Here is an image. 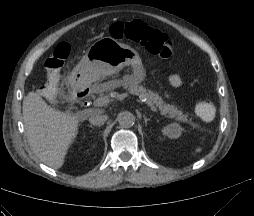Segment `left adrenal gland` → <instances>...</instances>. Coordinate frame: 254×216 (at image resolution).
<instances>
[{"instance_id": "left-adrenal-gland-1", "label": "left adrenal gland", "mask_w": 254, "mask_h": 216, "mask_svg": "<svg viewBox=\"0 0 254 216\" xmlns=\"http://www.w3.org/2000/svg\"><path fill=\"white\" fill-rule=\"evenodd\" d=\"M143 118H144L145 124H146V126H147V125H148L149 118L146 117V115H143Z\"/></svg>"}]
</instances>
